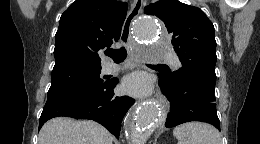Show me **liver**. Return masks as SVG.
Here are the masks:
<instances>
[{
    "label": "liver",
    "mask_w": 260,
    "mask_h": 144,
    "mask_svg": "<svg viewBox=\"0 0 260 144\" xmlns=\"http://www.w3.org/2000/svg\"><path fill=\"white\" fill-rule=\"evenodd\" d=\"M113 136L100 124L57 117L46 122L39 144H112Z\"/></svg>",
    "instance_id": "obj_1"
}]
</instances>
